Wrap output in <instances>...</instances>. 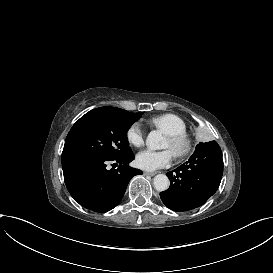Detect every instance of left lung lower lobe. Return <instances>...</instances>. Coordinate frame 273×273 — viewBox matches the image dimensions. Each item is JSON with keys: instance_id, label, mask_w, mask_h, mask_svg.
Here are the masks:
<instances>
[{"instance_id": "obj_1", "label": "left lung lower lobe", "mask_w": 273, "mask_h": 273, "mask_svg": "<svg viewBox=\"0 0 273 273\" xmlns=\"http://www.w3.org/2000/svg\"><path fill=\"white\" fill-rule=\"evenodd\" d=\"M222 174L220 146L216 141L199 143L186 164L166 174L171 184L160 193L161 200L174 211L200 207L216 192Z\"/></svg>"}]
</instances>
